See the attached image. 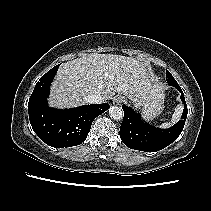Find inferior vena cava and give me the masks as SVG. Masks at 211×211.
<instances>
[{"instance_id": "obj_1", "label": "inferior vena cava", "mask_w": 211, "mask_h": 211, "mask_svg": "<svg viewBox=\"0 0 211 211\" xmlns=\"http://www.w3.org/2000/svg\"><path fill=\"white\" fill-rule=\"evenodd\" d=\"M85 101L89 104H101L103 102V98L99 94H94V95L87 96L85 98Z\"/></svg>"}]
</instances>
